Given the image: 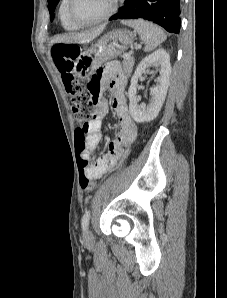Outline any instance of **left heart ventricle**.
I'll use <instances>...</instances> for the list:
<instances>
[{
  "label": "left heart ventricle",
  "mask_w": 227,
  "mask_h": 298,
  "mask_svg": "<svg viewBox=\"0 0 227 298\" xmlns=\"http://www.w3.org/2000/svg\"><path fill=\"white\" fill-rule=\"evenodd\" d=\"M111 0H73L72 13L80 21H90L102 16Z\"/></svg>",
  "instance_id": "left-heart-ventricle-1"
}]
</instances>
